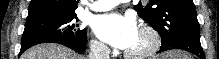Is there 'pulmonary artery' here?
Segmentation results:
<instances>
[{
    "instance_id": "e3ab8cb5",
    "label": "pulmonary artery",
    "mask_w": 219,
    "mask_h": 59,
    "mask_svg": "<svg viewBox=\"0 0 219 59\" xmlns=\"http://www.w3.org/2000/svg\"><path fill=\"white\" fill-rule=\"evenodd\" d=\"M120 2H124V1L123 0H97L91 5L90 9L93 11H106V10L113 8Z\"/></svg>"
}]
</instances>
